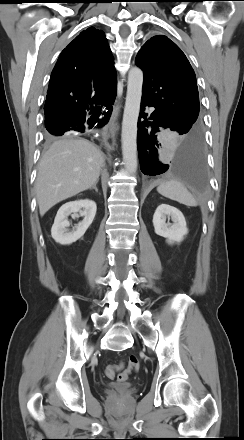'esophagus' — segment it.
Wrapping results in <instances>:
<instances>
[{
	"instance_id": "obj_1",
	"label": "esophagus",
	"mask_w": 244,
	"mask_h": 440,
	"mask_svg": "<svg viewBox=\"0 0 244 440\" xmlns=\"http://www.w3.org/2000/svg\"><path fill=\"white\" fill-rule=\"evenodd\" d=\"M118 110H119V103H117L113 109L112 116L110 119V123L107 126L105 133H104V139L106 146L113 150L116 145V138H115V126H116V120L118 117Z\"/></svg>"
}]
</instances>
